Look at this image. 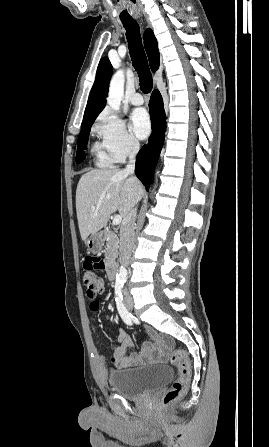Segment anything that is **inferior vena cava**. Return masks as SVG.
<instances>
[{"mask_svg": "<svg viewBox=\"0 0 269 447\" xmlns=\"http://www.w3.org/2000/svg\"><path fill=\"white\" fill-rule=\"evenodd\" d=\"M140 148V144L138 140H133L131 144V148L129 150V162L123 170V174H127V176H131L134 174L135 170V158L136 154H138ZM137 216V208H133L131 212H129L128 216L124 218L122 225L120 227V255L119 261L122 265H129L130 255L132 253L133 245H134V229L135 222ZM125 295H128V291H126Z\"/></svg>", "mask_w": 269, "mask_h": 447, "instance_id": "inferior-vena-cava-1", "label": "inferior vena cava"}]
</instances>
